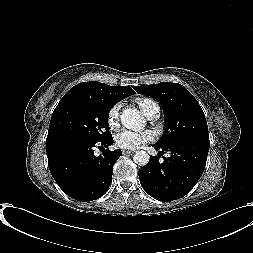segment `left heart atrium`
Returning a JSON list of instances; mask_svg holds the SVG:
<instances>
[{"mask_svg":"<svg viewBox=\"0 0 253 253\" xmlns=\"http://www.w3.org/2000/svg\"><path fill=\"white\" fill-rule=\"evenodd\" d=\"M155 138L156 134L152 130L136 132L125 129L116 135L115 142L120 148L134 150L154 141Z\"/></svg>","mask_w":253,"mask_h":253,"instance_id":"39dd6f15","label":"left heart atrium"}]
</instances>
